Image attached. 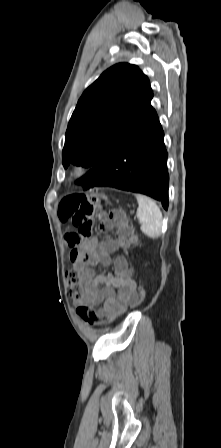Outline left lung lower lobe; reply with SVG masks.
<instances>
[{"label": "left lung lower lobe", "instance_id": "obj_1", "mask_svg": "<svg viewBox=\"0 0 221 448\" xmlns=\"http://www.w3.org/2000/svg\"><path fill=\"white\" fill-rule=\"evenodd\" d=\"M154 109L97 169L79 180L84 189L114 187L148 195L168 208L167 151Z\"/></svg>", "mask_w": 221, "mask_h": 448}]
</instances>
